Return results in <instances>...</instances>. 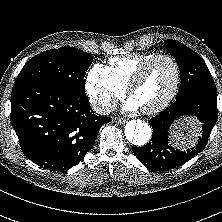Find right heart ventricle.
Instances as JSON below:
<instances>
[{"label": "right heart ventricle", "instance_id": "right-heart-ventricle-1", "mask_svg": "<svg viewBox=\"0 0 222 222\" xmlns=\"http://www.w3.org/2000/svg\"><path fill=\"white\" fill-rule=\"evenodd\" d=\"M155 55L156 53L149 52L115 57L109 60V69L116 81L126 87L137 69Z\"/></svg>", "mask_w": 222, "mask_h": 222}]
</instances>
